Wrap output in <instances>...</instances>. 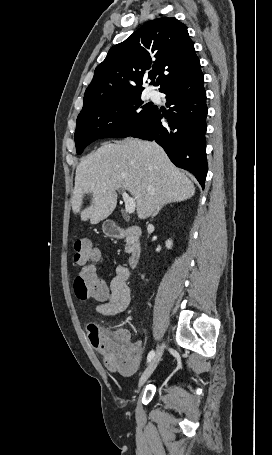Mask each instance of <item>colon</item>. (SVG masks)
I'll list each match as a JSON object with an SVG mask.
<instances>
[{"mask_svg": "<svg viewBox=\"0 0 272 455\" xmlns=\"http://www.w3.org/2000/svg\"><path fill=\"white\" fill-rule=\"evenodd\" d=\"M73 249V263L81 268V273L74 281L76 296L82 300H106L108 296L107 285L95 272L99 252L91 246L87 239H77L74 242ZM87 333L92 346L100 352L109 368L123 371L130 366L133 356L130 346L115 336L100 330L94 324L88 326Z\"/></svg>", "mask_w": 272, "mask_h": 455, "instance_id": "5ec220e1", "label": "colon"}]
</instances>
